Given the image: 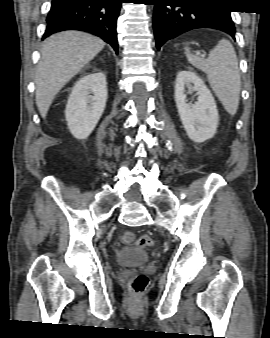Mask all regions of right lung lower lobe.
Wrapping results in <instances>:
<instances>
[{"label": "right lung lower lobe", "mask_w": 270, "mask_h": 338, "mask_svg": "<svg viewBox=\"0 0 270 338\" xmlns=\"http://www.w3.org/2000/svg\"><path fill=\"white\" fill-rule=\"evenodd\" d=\"M123 0H52L43 39L63 30L97 35L118 53L116 20Z\"/></svg>", "instance_id": "98d812e1"}]
</instances>
